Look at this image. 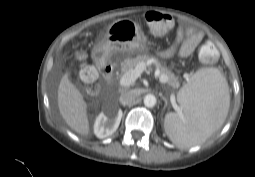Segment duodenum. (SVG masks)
Here are the masks:
<instances>
[{
  "mask_svg": "<svg viewBox=\"0 0 255 177\" xmlns=\"http://www.w3.org/2000/svg\"><path fill=\"white\" fill-rule=\"evenodd\" d=\"M96 63L105 81L111 84L114 80V68L112 64L107 62L104 57H97Z\"/></svg>",
  "mask_w": 255,
  "mask_h": 177,
  "instance_id": "1",
  "label": "duodenum"
}]
</instances>
